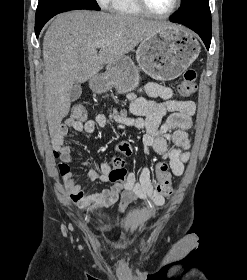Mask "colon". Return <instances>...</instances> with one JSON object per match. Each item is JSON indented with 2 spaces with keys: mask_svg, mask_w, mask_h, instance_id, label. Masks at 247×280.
I'll list each match as a JSON object with an SVG mask.
<instances>
[{
  "mask_svg": "<svg viewBox=\"0 0 247 280\" xmlns=\"http://www.w3.org/2000/svg\"><path fill=\"white\" fill-rule=\"evenodd\" d=\"M196 90V72L193 69H187L183 74V79L179 85V91L184 96H189L193 94ZM72 118L78 121H84L87 118V111L84 103H76L72 108ZM118 150L124 155H131L132 148L127 142H122L118 145ZM156 189L163 196H170L172 193V188L170 184L171 176L168 171V166L166 163L160 162L156 165ZM128 172L124 167L121 159H116L114 161V167L109 173V189L111 191H121L123 186L126 185V178Z\"/></svg>",
  "mask_w": 247,
  "mask_h": 280,
  "instance_id": "5ec220e1",
  "label": "colon"
}]
</instances>
